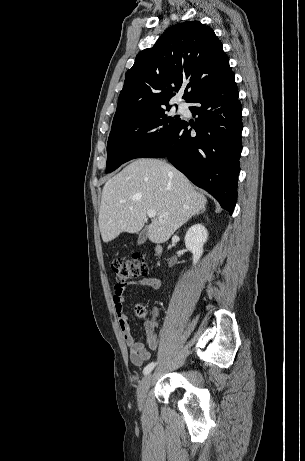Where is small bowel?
<instances>
[{
	"instance_id": "small-bowel-1",
	"label": "small bowel",
	"mask_w": 305,
	"mask_h": 461,
	"mask_svg": "<svg viewBox=\"0 0 305 461\" xmlns=\"http://www.w3.org/2000/svg\"><path fill=\"white\" fill-rule=\"evenodd\" d=\"M132 287H147L157 290L160 280L156 277H143L127 284L117 283L113 288V304L118 318V325L129 347L130 360L135 366H142L151 358V351L158 348V311L154 309L151 316L144 318L145 340L137 341L133 336L127 316L124 313L125 291Z\"/></svg>"
}]
</instances>
